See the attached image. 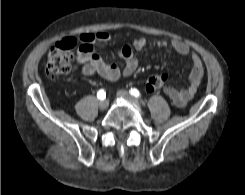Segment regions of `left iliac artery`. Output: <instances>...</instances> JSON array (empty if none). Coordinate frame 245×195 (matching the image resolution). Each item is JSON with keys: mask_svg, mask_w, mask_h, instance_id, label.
Returning a JSON list of instances; mask_svg holds the SVG:
<instances>
[{"mask_svg": "<svg viewBox=\"0 0 245 195\" xmlns=\"http://www.w3.org/2000/svg\"><path fill=\"white\" fill-rule=\"evenodd\" d=\"M129 93L132 96L136 97V98H139L140 97V92L137 89H135V88H131L130 91H129Z\"/></svg>", "mask_w": 245, "mask_h": 195, "instance_id": "obj_1", "label": "left iliac artery"}]
</instances>
